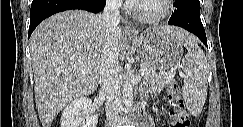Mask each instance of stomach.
Listing matches in <instances>:
<instances>
[{"label":"stomach","instance_id":"stomach-1","mask_svg":"<svg viewBox=\"0 0 243 127\" xmlns=\"http://www.w3.org/2000/svg\"><path fill=\"white\" fill-rule=\"evenodd\" d=\"M129 40L144 62L156 70L172 69L183 55L176 36L163 27L146 29L140 35L129 36Z\"/></svg>","mask_w":243,"mask_h":127}]
</instances>
